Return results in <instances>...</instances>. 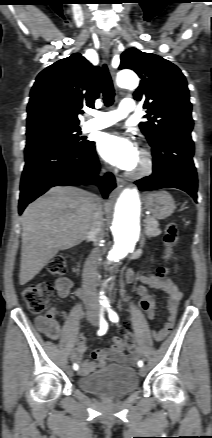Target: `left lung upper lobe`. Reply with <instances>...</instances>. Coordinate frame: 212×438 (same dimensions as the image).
<instances>
[{
  "instance_id": "obj_1",
  "label": "left lung upper lobe",
  "mask_w": 212,
  "mask_h": 438,
  "mask_svg": "<svg viewBox=\"0 0 212 438\" xmlns=\"http://www.w3.org/2000/svg\"><path fill=\"white\" fill-rule=\"evenodd\" d=\"M124 68L134 70L141 78L134 98L144 99L147 121L139 127L151 146L166 136L191 133L192 106L187 82L176 65L158 55L130 48L121 55L119 69Z\"/></svg>"
}]
</instances>
